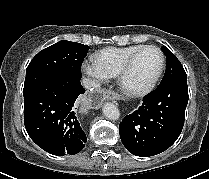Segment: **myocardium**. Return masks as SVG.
Listing matches in <instances>:
<instances>
[{"label":"myocardium","instance_id":"myocardium-1","mask_svg":"<svg viewBox=\"0 0 209 179\" xmlns=\"http://www.w3.org/2000/svg\"><path fill=\"white\" fill-rule=\"evenodd\" d=\"M148 49H155L159 52L160 57H161V65H160L159 71L156 74V76L154 77V79L145 87L140 88V89H136V90L128 89L125 85V78H126L127 74L129 73L130 69L132 68L133 64L137 60V58L145 50H148ZM165 67H166V58H165V55H164L162 49L156 45H145L144 47H142L141 49H139L138 51L133 53L127 59V61L123 64V66L121 67L120 71L118 72V74L116 76L118 86L126 95H128L130 97L145 96V95L149 94L150 92H152L154 90V88L157 86L158 82L160 81V79L164 73Z\"/></svg>","mask_w":209,"mask_h":179}]
</instances>
